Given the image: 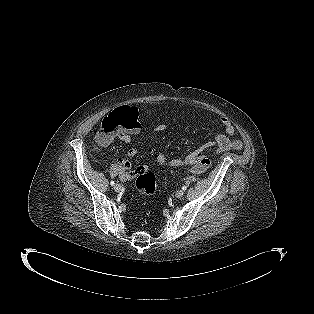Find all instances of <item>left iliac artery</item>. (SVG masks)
Wrapping results in <instances>:
<instances>
[{
    "label": "left iliac artery",
    "mask_w": 314,
    "mask_h": 314,
    "mask_svg": "<svg viewBox=\"0 0 314 314\" xmlns=\"http://www.w3.org/2000/svg\"><path fill=\"white\" fill-rule=\"evenodd\" d=\"M187 189V186L186 185H184L183 187H182V190H186Z\"/></svg>",
    "instance_id": "obj_1"
}]
</instances>
